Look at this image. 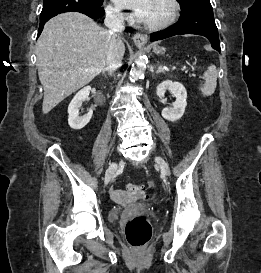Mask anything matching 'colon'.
Returning a JSON list of instances; mask_svg holds the SVG:
<instances>
[{
    "instance_id": "1",
    "label": "colon",
    "mask_w": 261,
    "mask_h": 273,
    "mask_svg": "<svg viewBox=\"0 0 261 273\" xmlns=\"http://www.w3.org/2000/svg\"><path fill=\"white\" fill-rule=\"evenodd\" d=\"M126 193L130 198L145 199L147 197L145 187L140 185L129 184L126 188ZM113 195L116 199L122 197V193L119 192H114ZM125 235L130 245L142 247L149 242L152 229L144 216H138L126 224Z\"/></svg>"
}]
</instances>
